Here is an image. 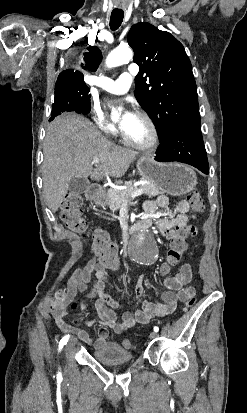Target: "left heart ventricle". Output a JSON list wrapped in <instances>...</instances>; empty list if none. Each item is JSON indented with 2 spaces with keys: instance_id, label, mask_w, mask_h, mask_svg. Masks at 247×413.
I'll use <instances>...</instances> for the list:
<instances>
[{
  "instance_id": "left-heart-ventricle-1",
  "label": "left heart ventricle",
  "mask_w": 247,
  "mask_h": 413,
  "mask_svg": "<svg viewBox=\"0 0 247 413\" xmlns=\"http://www.w3.org/2000/svg\"><path fill=\"white\" fill-rule=\"evenodd\" d=\"M125 134L134 141L148 143L153 138V131L149 124L141 118L140 122L131 127Z\"/></svg>"
}]
</instances>
